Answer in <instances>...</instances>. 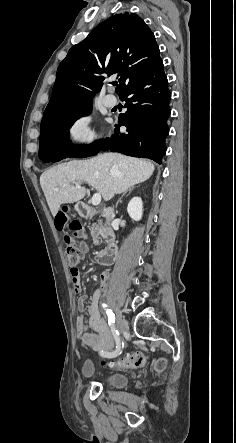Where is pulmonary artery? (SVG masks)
Listing matches in <instances>:
<instances>
[{
	"instance_id": "pulmonary-artery-1",
	"label": "pulmonary artery",
	"mask_w": 236,
	"mask_h": 443,
	"mask_svg": "<svg viewBox=\"0 0 236 443\" xmlns=\"http://www.w3.org/2000/svg\"><path fill=\"white\" fill-rule=\"evenodd\" d=\"M103 103L108 108H114L117 105V99H116V97L114 95L107 94L103 98Z\"/></svg>"
}]
</instances>
